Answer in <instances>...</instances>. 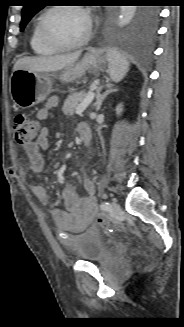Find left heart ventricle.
Returning a JSON list of instances; mask_svg holds the SVG:
<instances>
[{"instance_id": "obj_1", "label": "left heart ventricle", "mask_w": 184, "mask_h": 327, "mask_svg": "<svg viewBox=\"0 0 184 327\" xmlns=\"http://www.w3.org/2000/svg\"><path fill=\"white\" fill-rule=\"evenodd\" d=\"M48 29L57 40L64 43H73L85 35L87 20L79 11L60 9L50 14Z\"/></svg>"}]
</instances>
